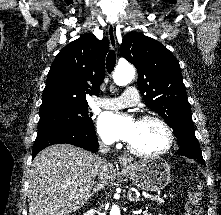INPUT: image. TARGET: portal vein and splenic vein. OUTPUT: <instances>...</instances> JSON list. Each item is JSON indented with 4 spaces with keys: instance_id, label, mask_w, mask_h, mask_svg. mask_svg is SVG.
I'll list each match as a JSON object with an SVG mask.
<instances>
[{
    "instance_id": "1",
    "label": "portal vein and splenic vein",
    "mask_w": 221,
    "mask_h": 215,
    "mask_svg": "<svg viewBox=\"0 0 221 215\" xmlns=\"http://www.w3.org/2000/svg\"><path fill=\"white\" fill-rule=\"evenodd\" d=\"M145 197H146L147 199H149V198H151V199H152V198H155L156 200H162V199H161L159 196H157V195H156V196H153V195L148 194V195H146Z\"/></svg>"
}]
</instances>
